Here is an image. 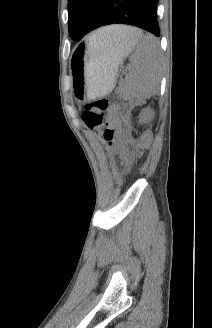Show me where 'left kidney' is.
<instances>
[{
  "instance_id": "left-kidney-1",
  "label": "left kidney",
  "mask_w": 212,
  "mask_h": 328,
  "mask_svg": "<svg viewBox=\"0 0 212 328\" xmlns=\"http://www.w3.org/2000/svg\"><path fill=\"white\" fill-rule=\"evenodd\" d=\"M153 112L150 109H145L141 113V122L149 121L153 116Z\"/></svg>"
}]
</instances>
